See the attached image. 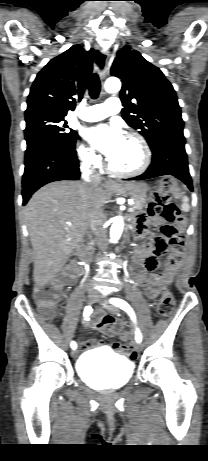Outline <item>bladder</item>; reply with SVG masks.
Returning <instances> with one entry per match:
<instances>
[{
  "label": "bladder",
  "mask_w": 208,
  "mask_h": 461,
  "mask_svg": "<svg viewBox=\"0 0 208 461\" xmlns=\"http://www.w3.org/2000/svg\"><path fill=\"white\" fill-rule=\"evenodd\" d=\"M78 376L96 390H113L124 387L133 373V362L109 351L89 352L77 361Z\"/></svg>",
  "instance_id": "1"
}]
</instances>
